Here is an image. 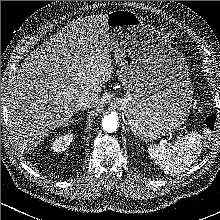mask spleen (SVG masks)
<instances>
[{
  "mask_svg": "<svg viewBox=\"0 0 220 220\" xmlns=\"http://www.w3.org/2000/svg\"><path fill=\"white\" fill-rule=\"evenodd\" d=\"M202 138L197 131H192L179 137L171 148H166L161 142L159 145H151L148 154L165 174L175 176L185 172L196 162L202 151Z\"/></svg>",
  "mask_w": 220,
  "mask_h": 220,
  "instance_id": "1",
  "label": "spleen"
}]
</instances>
